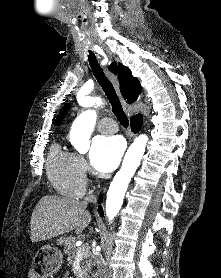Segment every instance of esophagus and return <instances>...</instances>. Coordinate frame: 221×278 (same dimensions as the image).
I'll return each instance as SVG.
<instances>
[{
  "label": "esophagus",
  "instance_id": "obj_1",
  "mask_svg": "<svg viewBox=\"0 0 221 278\" xmlns=\"http://www.w3.org/2000/svg\"><path fill=\"white\" fill-rule=\"evenodd\" d=\"M111 67H113V65H111ZM105 73L107 75V77L110 79V81L112 82L115 90L117 91L120 99H121V102L123 104L124 107H127V104L126 102L124 101V99L122 98L121 94H120V91H119V83H118V80H117V76L115 73H112L109 69L108 66L105 67Z\"/></svg>",
  "mask_w": 221,
  "mask_h": 278
}]
</instances>
